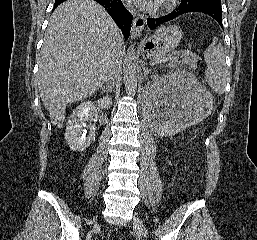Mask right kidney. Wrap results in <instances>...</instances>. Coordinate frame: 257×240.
I'll list each match as a JSON object with an SVG mask.
<instances>
[{"instance_id":"ca27d5eb","label":"right kidney","mask_w":257,"mask_h":240,"mask_svg":"<svg viewBox=\"0 0 257 240\" xmlns=\"http://www.w3.org/2000/svg\"><path fill=\"white\" fill-rule=\"evenodd\" d=\"M112 104L110 97H104L97 101L102 109H108ZM96 105L92 102L82 103L76 107L66 123L65 139L69 147L74 151H84L88 148L95 136L93 125L86 129V121H91L95 116Z\"/></svg>"}]
</instances>
